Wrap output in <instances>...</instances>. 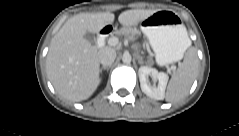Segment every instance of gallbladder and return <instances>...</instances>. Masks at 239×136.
Instances as JSON below:
<instances>
[{"label": "gallbladder", "instance_id": "gallbladder-1", "mask_svg": "<svg viewBox=\"0 0 239 136\" xmlns=\"http://www.w3.org/2000/svg\"><path fill=\"white\" fill-rule=\"evenodd\" d=\"M84 38L89 41L91 44H95L96 43V36L93 33L87 32L84 35Z\"/></svg>", "mask_w": 239, "mask_h": 136}]
</instances>
